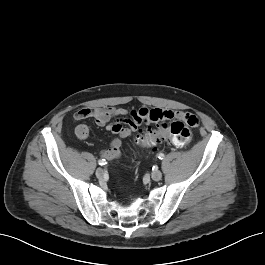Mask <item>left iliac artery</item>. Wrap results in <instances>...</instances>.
Returning <instances> with one entry per match:
<instances>
[{
	"label": "left iliac artery",
	"mask_w": 265,
	"mask_h": 265,
	"mask_svg": "<svg viewBox=\"0 0 265 265\" xmlns=\"http://www.w3.org/2000/svg\"><path fill=\"white\" fill-rule=\"evenodd\" d=\"M164 157H165V156H164V154H163V153H159V154H158V158H159V159H161V160H162V159H164Z\"/></svg>",
	"instance_id": "obj_1"
}]
</instances>
